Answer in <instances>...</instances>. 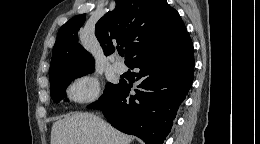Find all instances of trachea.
Instances as JSON below:
<instances>
[{
  "label": "trachea",
  "instance_id": "1",
  "mask_svg": "<svg viewBox=\"0 0 260 144\" xmlns=\"http://www.w3.org/2000/svg\"><path fill=\"white\" fill-rule=\"evenodd\" d=\"M118 53H119V55H120L121 57L124 56V50H118Z\"/></svg>",
  "mask_w": 260,
  "mask_h": 144
}]
</instances>
